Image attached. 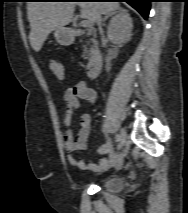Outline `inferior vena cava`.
I'll return each mask as SVG.
<instances>
[{
    "label": "inferior vena cava",
    "instance_id": "obj_1",
    "mask_svg": "<svg viewBox=\"0 0 188 213\" xmlns=\"http://www.w3.org/2000/svg\"><path fill=\"white\" fill-rule=\"evenodd\" d=\"M96 21H97L98 26L101 27V21L102 20H101V15L100 14L97 15Z\"/></svg>",
    "mask_w": 188,
    "mask_h": 213
}]
</instances>
